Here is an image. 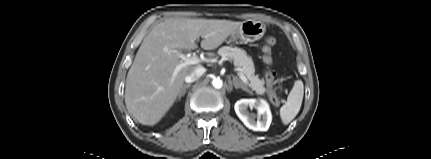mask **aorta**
Instances as JSON below:
<instances>
[{
	"mask_svg": "<svg viewBox=\"0 0 431 159\" xmlns=\"http://www.w3.org/2000/svg\"><path fill=\"white\" fill-rule=\"evenodd\" d=\"M212 85L216 89H220L223 86V81L220 78H213Z\"/></svg>",
	"mask_w": 431,
	"mask_h": 159,
	"instance_id": "obj_1",
	"label": "aorta"
}]
</instances>
